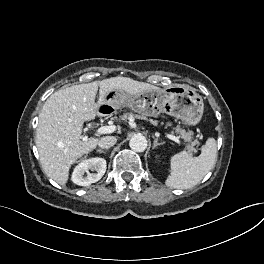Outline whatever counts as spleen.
<instances>
[{"mask_svg": "<svg viewBox=\"0 0 264 264\" xmlns=\"http://www.w3.org/2000/svg\"><path fill=\"white\" fill-rule=\"evenodd\" d=\"M217 159V144L208 138L198 157L180 152L171 157L170 175L165 181L168 187L188 189L197 185L214 167Z\"/></svg>", "mask_w": 264, "mask_h": 264, "instance_id": "1", "label": "spleen"}]
</instances>
